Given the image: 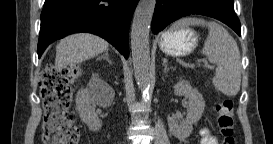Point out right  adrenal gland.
I'll use <instances>...</instances> for the list:
<instances>
[{
    "label": "right adrenal gland",
    "mask_w": 273,
    "mask_h": 144,
    "mask_svg": "<svg viewBox=\"0 0 273 144\" xmlns=\"http://www.w3.org/2000/svg\"><path fill=\"white\" fill-rule=\"evenodd\" d=\"M109 50H105L104 54L101 55L100 57H98V59H105L110 65H111V61L109 60V54H108Z\"/></svg>",
    "instance_id": "obj_1"
}]
</instances>
